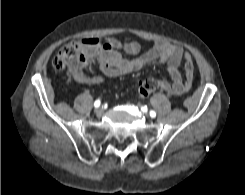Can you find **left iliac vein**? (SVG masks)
Wrapping results in <instances>:
<instances>
[{"instance_id": "left-iliac-vein-1", "label": "left iliac vein", "mask_w": 245, "mask_h": 195, "mask_svg": "<svg viewBox=\"0 0 245 195\" xmlns=\"http://www.w3.org/2000/svg\"><path fill=\"white\" fill-rule=\"evenodd\" d=\"M142 111L147 115V112H146V110H144V109H142Z\"/></svg>"}]
</instances>
